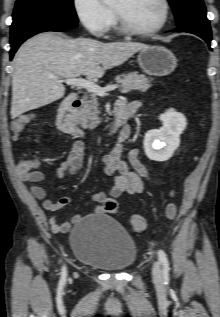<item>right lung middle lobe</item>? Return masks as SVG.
Returning <instances> with one entry per match:
<instances>
[{"instance_id":"1","label":"right lung middle lobe","mask_w":220,"mask_h":317,"mask_svg":"<svg viewBox=\"0 0 220 317\" xmlns=\"http://www.w3.org/2000/svg\"><path fill=\"white\" fill-rule=\"evenodd\" d=\"M39 18H59L77 23L73 0H17L11 29Z\"/></svg>"}]
</instances>
